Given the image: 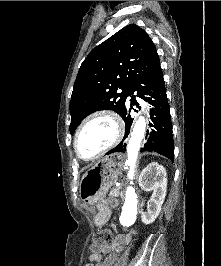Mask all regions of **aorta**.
Segmentation results:
<instances>
[{"label": "aorta", "instance_id": "obj_1", "mask_svg": "<svg viewBox=\"0 0 221 266\" xmlns=\"http://www.w3.org/2000/svg\"><path fill=\"white\" fill-rule=\"evenodd\" d=\"M146 122L144 117H139L136 121L131 137L127 145L128 160L126 165L129 166L128 178L133 179L135 173L136 160L138 152L141 147V142L145 136ZM133 184L130 181V186L127 187L125 192V202L123 212L121 215V222L124 225H130L135 221L137 211V195L135 189L131 186Z\"/></svg>", "mask_w": 221, "mask_h": 266}]
</instances>
